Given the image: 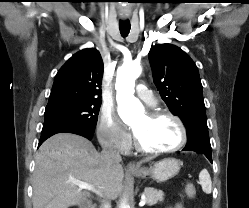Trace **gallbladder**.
Returning <instances> with one entry per match:
<instances>
[{
	"label": "gallbladder",
	"instance_id": "bac80fb5",
	"mask_svg": "<svg viewBox=\"0 0 249 208\" xmlns=\"http://www.w3.org/2000/svg\"><path fill=\"white\" fill-rule=\"evenodd\" d=\"M88 202L87 201H83L79 204V208H87Z\"/></svg>",
	"mask_w": 249,
	"mask_h": 208
}]
</instances>
